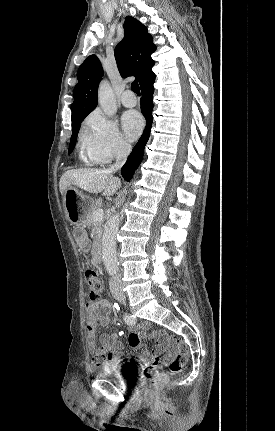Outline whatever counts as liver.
<instances>
[{
	"mask_svg": "<svg viewBox=\"0 0 275 431\" xmlns=\"http://www.w3.org/2000/svg\"><path fill=\"white\" fill-rule=\"evenodd\" d=\"M71 185L89 193L103 192L104 196H111L120 188L121 181L107 169H78L68 170L62 175L59 182L61 195Z\"/></svg>",
	"mask_w": 275,
	"mask_h": 431,
	"instance_id": "liver-1",
	"label": "liver"
}]
</instances>
